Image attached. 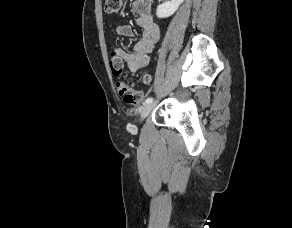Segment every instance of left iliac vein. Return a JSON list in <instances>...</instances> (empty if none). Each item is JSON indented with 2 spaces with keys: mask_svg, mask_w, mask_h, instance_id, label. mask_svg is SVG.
Instances as JSON below:
<instances>
[{
  "mask_svg": "<svg viewBox=\"0 0 292 228\" xmlns=\"http://www.w3.org/2000/svg\"><path fill=\"white\" fill-rule=\"evenodd\" d=\"M154 107H155V104L153 102L144 104V106L140 110L141 119L146 118L154 109Z\"/></svg>",
  "mask_w": 292,
  "mask_h": 228,
  "instance_id": "4c4485c4",
  "label": "left iliac vein"
}]
</instances>
